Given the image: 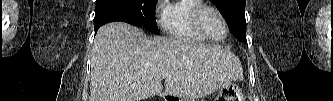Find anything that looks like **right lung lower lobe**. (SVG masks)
Returning <instances> with one entry per match:
<instances>
[{
    "label": "right lung lower lobe",
    "mask_w": 333,
    "mask_h": 101,
    "mask_svg": "<svg viewBox=\"0 0 333 101\" xmlns=\"http://www.w3.org/2000/svg\"><path fill=\"white\" fill-rule=\"evenodd\" d=\"M113 21L136 25L133 15L119 0H100L94 17L95 34L102 25Z\"/></svg>",
    "instance_id": "1"
}]
</instances>
